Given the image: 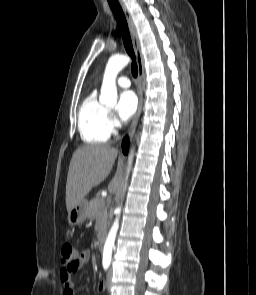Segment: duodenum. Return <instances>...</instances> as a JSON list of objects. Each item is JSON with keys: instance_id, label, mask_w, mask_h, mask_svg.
Here are the masks:
<instances>
[{"instance_id": "1", "label": "duodenum", "mask_w": 256, "mask_h": 295, "mask_svg": "<svg viewBox=\"0 0 256 295\" xmlns=\"http://www.w3.org/2000/svg\"><path fill=\"white\" fill-rule=\"evenodd\" d=\"M104 242H105V236L104 234H101L97 242V247L100 252H102L104 249Z\"/></svg>"}]
</instances>
